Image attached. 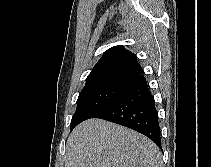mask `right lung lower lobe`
Instances as JSON below:
<instances>
[{
    "mask_svg": "<svg viewBox=\"0 0 211 167\" xmlns=\"http://www.w3.org/2000/svg\"><path fill=\"white\" fill-rule=\"evenodd\" d=\"M92 118H101L136 130L161 148L158 112L142 73L132 79L127 91Z\"/></svg>",
    "mask_w": 211,
    "mask_h": 167,
    "instance_id": "right-lung-lower-lobe-1",
    "label": "right lung lower lobe"
}]
</instances>
